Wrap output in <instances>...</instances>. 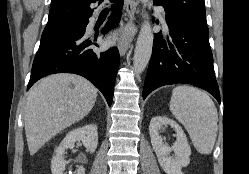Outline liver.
<instances>
[{
  "label": "liver",
  "instance_id": "liver-1",
  "mask_svg": "<svg viewBox=\"0 0 249 174\" xmlns=\"http://www.w3.org/2000/svg\"><path fill=\"white\" fill-rule=\"evenodd\" d=\"M97 89L85 78L69 73L50 75L29 92L24 110L30 155L93 108Z\"/></svg>",
  "mask_w": 249,
  "mask_h": 174
}]
</instances>
